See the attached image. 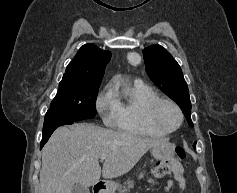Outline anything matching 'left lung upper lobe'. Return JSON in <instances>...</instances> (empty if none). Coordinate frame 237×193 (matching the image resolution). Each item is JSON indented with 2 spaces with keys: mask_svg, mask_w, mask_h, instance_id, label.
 I'll return each instance as SVG.
<instances>
[{
  "mask_svg": "<svg viewBox=\"0 0 237 193\" xmlns=\"http://www.w3.org/2000/svg\"><path fill=\"white\" fill-rule=\"evenodd\" d=\"M143 55L150 79L180 106L188 124L193 126L188 86L178 63L157 44L145 48Z\"/></svg>",
  "mask_w": 237,
  "mask_h": 193,
  "instance_id": "obj_1",
  "label": "left lung upper lobe"
}]
</instances>
